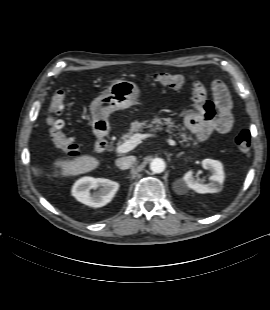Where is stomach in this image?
Here are the masks:
<instances>
[{"label":"stomach","instance_id":"1","mask_svg":"<svg viewBox=\"0 0 270 310\" xmlns=\"http://www.w3.org/2000/svg\"><path fill=\"white\" fill-rule=\"evenodd\" d=\"M140 90L137 85L127 80H117L90 104L92 125L107 124L110 113L126 109L134 105L139 97Z\"/></svg>","mask_w":270,"mask_h":310}]
</instances>
